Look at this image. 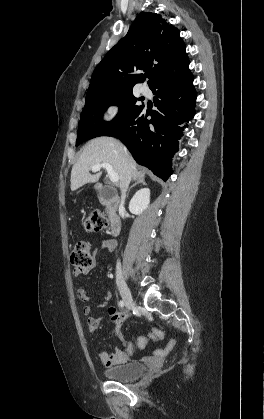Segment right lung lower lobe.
Listing matches in <instances>:
<instances>
[{
	"label": "right lung lower lobe",
	"mask_w": 264,
	"mask_h": 419,
	"mask_svg": "<svg viewBox=\"0 0 264 419\" xmlns=\"http://www.w3.org/2000/svg\"><path fill=\"white\" fill-rule=\"evenodd\" d=\"M150 88L156 95L157 109L142 105L104 136L121 139L138 164L166 181L172 174L171 158L178 151L184 130L178 125L182 119L188 122L193 118L197 95L190 71L162 79Z\"/></svg>",
	"instance_id": "right-lung-lower-lobe-1"
}]
</instances>
